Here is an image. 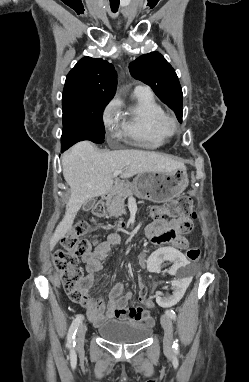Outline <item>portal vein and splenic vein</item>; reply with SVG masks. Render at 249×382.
<instances>
[{"instance_id": "18ae733b", "label": "portal vein and splenic vein", "mask_w": 249, "mask_h": 382, "mask_svg": "<svg viewBox=\"0 0 249 382\" xmlns=\"http://www.w3.org/2000/svg\"><path fill=\"white\" fill-rule=\"evenodd\" d=\"M119 173H121V171H120V170H116V171L114 172V175H118Z\"/></svg>"}]
</instances>
